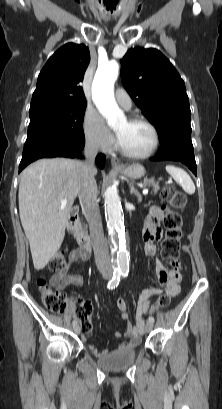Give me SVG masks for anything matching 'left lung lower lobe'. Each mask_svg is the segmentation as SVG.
<instances>
[{
	"mask_svg": "<svg viewBox=\"0 0 222 409\" xmlns=\"http://www.w3.org/2000/svg\"><path fill=\"white\" fill-rule=\"evenodd\" d=\"M154 161L171 160L178 161L188 166V168L197 175V167L193 152V145L191 140H172L159 148V151Z\"/></svg>",
	"mask_w": 222,
	"mask_h": 409,
	"instance_id": "1",
	"label": "left lung lower lobe"
}]
</instances>
